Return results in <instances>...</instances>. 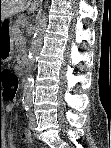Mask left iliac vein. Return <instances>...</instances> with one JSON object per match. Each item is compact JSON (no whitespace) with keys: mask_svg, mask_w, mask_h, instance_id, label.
I'll return each instance as SVG.
<instances>
[{"mask_svg":"<svg viewBox=\"0 0 111 148\" xmlns=\"http://www.w3.org/2000/svg\"><path fill=\"white\" fill-rule=\"evenodd\" d=\"M28 125H29V128H30L31 130H34V129H35V126H36V119H35V116H34L32 113H30Z\"/></svg>","mask_w":111,"mask_h":148,"instance_id":"left-iliac-vein-1","label":"left iliac vein"}]
</instances>
